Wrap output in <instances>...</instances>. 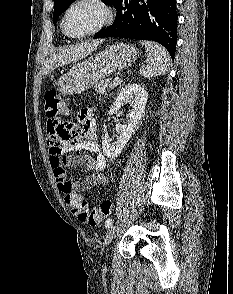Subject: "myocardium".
<instances>
[{
    "label": "myocardium",
    "mask_w": 233,
    "mask_h": 294,
    "mask_svg": "<svg viewBox=\"0 0 233 294\" xmlns=\"http://www.w3.org/2000/svg\"><path fill=\"white\" fill-rule=\"evenodd\" d=\"M83 3H91V4L98 6L103 12L102 20L100 21V23L96 27H94L90 31L83 33V34H80V35H72V34L68 33V31L66 30L67 16L73 8H75L76 6L83 4ZM113 19H114V10H113L112 6L109 3H107L105 0H74L66 8V10L62 16L61 28H62L63 33L69 38L84 39V38L96 35L100 31H102L104 28H106L107 26H109L112 23Z\"/></svg>",
    "instance_id": "obj_1"
}]
</instances>
